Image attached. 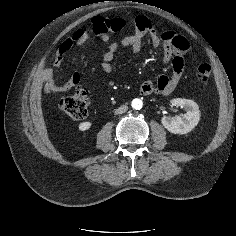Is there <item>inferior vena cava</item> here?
Returning a JSON list of instances; mask_svg holds the SVG:
<instances>
[{
    "mask_svg": "<svg viewBox=\"0 0 236 236\" xmlns=\"http://www.w3.org/2000/svg\"><path fill=\"white\" fill-rule=\"evenodd\" d=\"M128 110V106L121 105L119 108L115 110V114H122L125 113Z\"/></svg>",
    "mask_w": 236,
    "mask_h": 236,
    "instance_id": "1",
    "label": "inferior vena cava"
}]
</instances>
